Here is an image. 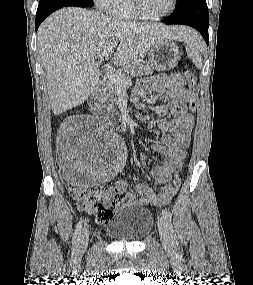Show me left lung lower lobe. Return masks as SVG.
<instances>
[{
  "label": "left lung lower lobe",
  "instance_id": "left-lung-lower-lobe-1",
  "mask_svg": "<svg viewBox=\"0 0 253 285\" xmlns=\"http://www.w3.org/2000/svg\"><path fill=\"white\" fill-rule=\"evenodd\" d=\"M176 11L162 21L166 24H183L198 30L207 45L208 37V8L206 0H183L176 5Z\"/></svg>",
  "mask_w": 253,
  "mask_h": 285
}]
</instances>
